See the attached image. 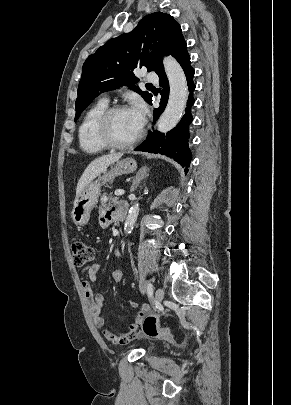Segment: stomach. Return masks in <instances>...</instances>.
<instances>
[{
	"mask_svg": "<svg viewBox=\"0 0 291 405\" xmlns=\"http://www.w3.org/2000/svg\"><path fill=\"white\" fill-rule=\"evenodd\" d=\"M136 168L137 164L135 160L126 158L118 161L109 171H103L102 176L97 180L90 182L74 200L71 212L74 224L82 226L88 223L90 213L98 202L103 183L111 181L118 175L132 173Z\"/></svg>",
	"mask_w": 291,
	"mask_h": 405,
	"instance_id": "stomach-1",
	"label": "stomach"
}]
</instances>
